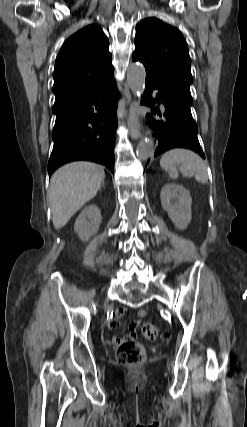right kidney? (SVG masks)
Instances as JSON below:
<instances>
[{
    "mask_svg": "<svg viewBox=\"0 0 247 427\" xmlns=\"http://www.w3.org/2000/svg\"><path fill=\"white\" fill-rule=\"evenodd\" d=\"M101 220L100 209L96 205H89L77 217L74 231L82 241H88L92 235L97 233Z\"/></svg>",
    "mask_w": 247,
    "mask_h": 427,
    "instance_id": "obj_1",
    "label": "right kidney"
}]
</instances>
